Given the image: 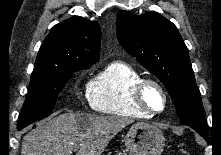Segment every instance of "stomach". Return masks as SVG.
<instances>
[{
	"label": "stomach",
	"instance_id": "0dacf381",
	"mask_svg": "<svg viewBox=\"0 0 221 155\" xmlns=\"http://www.w3.org/2000/svg\"><path fill=\"white\" fill-rule=\"evenodd\" d=\"M124 143L130 155H161L165 138L158 127L137 123L129 129Z\"/></svg>",
	"mask_w": 221,
	"mask_h": 155
}]
</instances>
